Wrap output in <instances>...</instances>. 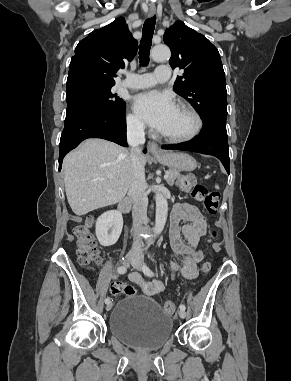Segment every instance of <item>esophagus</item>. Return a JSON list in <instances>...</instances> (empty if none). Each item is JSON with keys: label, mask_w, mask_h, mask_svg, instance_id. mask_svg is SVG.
<instances>
[{"label": "esophagus", "mask_w": 291, "mask_h": 381, "mask_svg": "<svg viewBox=\"0 0 291 381\" xmlns=\"http://www.w3.org/2000/svg\"><path fill=\"white\" fill-rule=\"evenodd\" d=\"M156 12V8H155V5L154 4H150L149 5V11H148V14L149 16H154ZM148 149H149V152L151 154H163L164 152L160 149V147L158 146L157 143L153 142V141H150L148 143Z\"/></svg>", "instance_id": "34e87169"}]
</instances>
